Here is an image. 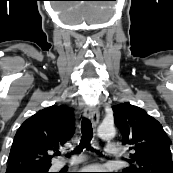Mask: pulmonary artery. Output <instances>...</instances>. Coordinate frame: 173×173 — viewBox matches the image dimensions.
Returning <instances> with one entry per match:
<instances>
[{
	"instance_id": "obj_1",
	"label": "pulmonary artery",
	"mask_w": 173,
	"mask_h": 173,
	"mask_svg": "<svg viewBox=\"0 0 173 173\" xmlns=\"http://www.w3.org/2000/svg\"><path fill=\"white\" fill-rule=\"evenodd\" d=\"M104 150L108 155H112V156H116L120 153V148L118 146H106ZM80 161H81L80 158H73L69 162L61 163V165H65V164L72 165V164H76Z\"/></svg>"
}]
</instances>
